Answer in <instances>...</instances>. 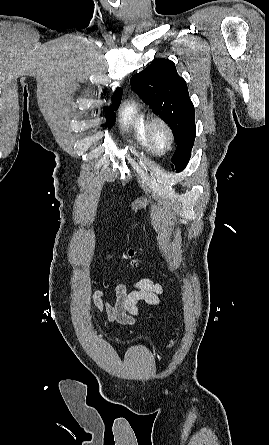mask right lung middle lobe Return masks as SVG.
Returning a JSON list of instances; mask_svg holds the SVG:
<instances>
[{
    "label": "right lung middle lobe",
    "mask_w": 269,
    "mask_h": 445,
    "mask_svg": "<svg viewBox=\"0 0 269 445\" xmlns=\"http://www.w3.org/2000/svg\"><path fill=\"white\" fill-rule=\"evenodd\" d=\"M120 102H121V100H119L114 106H112V108L111 107L108 108L107 111H106L107 112L106 117L108 119L107 126L109 128H111L113 126V122H114V112H113V110H116L118 108Z\"/></svg>",
    "instance_id": "1"
}]
</instances>
